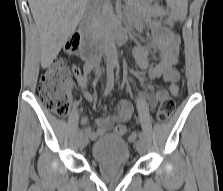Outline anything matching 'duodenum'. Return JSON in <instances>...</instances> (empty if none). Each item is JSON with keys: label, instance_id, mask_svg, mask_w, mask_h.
<instances>
[{"label": "duodenum", "instance_id": "duodenum-1", "mask_svg": "<svg viewBox=\"0 0 223 191\" xmlns=\"http://www.w3.org/2000/svg\"><path fill=\"white\" fill-rule=\"evenodd\" d=\"M125 40V29L121 25H117L114 28V41L118 45H121ZM103 42L94 39L93 41L89 42L85 47L82 52V56L87 59V61L91 64L95 63L100 49L102 48Z\"/></svg>", "mask_w": 223, "mask_h": 191}]
</instances>
